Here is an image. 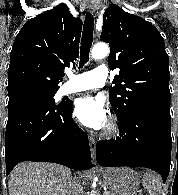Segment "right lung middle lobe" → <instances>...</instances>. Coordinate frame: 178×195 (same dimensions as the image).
<instances>
[{
	"label": "right lung middle lobe",
	"mask_w": 178,
	"mask_h": 195,
	"mask_svg": "<svg viewBox=\"0 0 178 195\" xmlns=\"http://www.w3.org/2000/svg\"><path fill=\"white\" fill-rule=\"evenodd\" d=\"M57 90H29L9 97L8 104L16 101H31L55 105L54 95Z\"/></svg>",
	"instance_id": "1"
}]
</instances>
